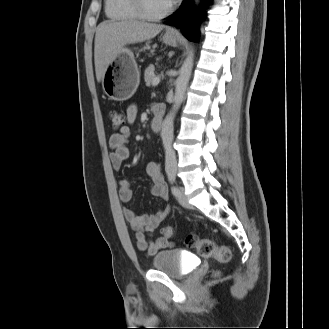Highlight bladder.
Instances as JSON below:
<instances>
[{"instance_id":"31cf9c89","label":"bladder","mask_w":329,"mask_h":329,"mask_svg":"<svg viewBox=\"0 0 329 329\" xmlns=\"http://www.w3.org/2000/svg\"><path fill=\"white\" fill-rule=\"evenodd\" d=\"M155 271L163 272L173 278L186 275V267L182 252L178 249L159 251L152 260Z\"/></svg>"}]
</instances>
